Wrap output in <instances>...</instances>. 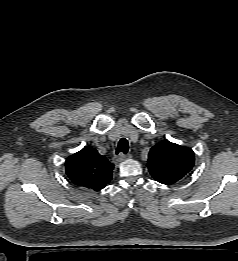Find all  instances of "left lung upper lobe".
<instances>
[{"label": "left lung upper lobe", "mask_w": 238, "mask_h": 261, "mask_svg": "<svg viewBox=\"0 0 238 261\" xmlns=\"http://www.w3.org/2000/svg\"><path fill=\"white\" fill-rule=\"evenodd\" d=\"M147 167L152 177L162 184H173L183 178L195 163L192 149L163 140L153 146Z\"/></svg>", "instance_id": "obj_1"}]
</instances>
